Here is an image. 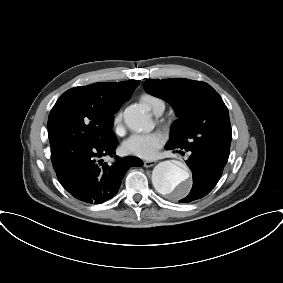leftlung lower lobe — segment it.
<instances>
[{
    "mask_svg": "<svg viewBox=\"0 0 283 283\" xmlns=\"http://www.w3.org/2000/svg\"><path fill=\"white\" fill-rule=\"evenodd\" d=\"M166 149H172L174 152L186 150L190 154L186 163L192 170L193 186L189 195L180 202H191L207 195L219 181L228 160L227 156H212L198 149L176 147L169 144L166 145Z\"/></svg>",
    "mask_w": 283,
    "mask_h": 283,
    "instance_id": "left-lung-lower-lobe-1",
    "label": "left lung lower lobe"
}]
</instances>
